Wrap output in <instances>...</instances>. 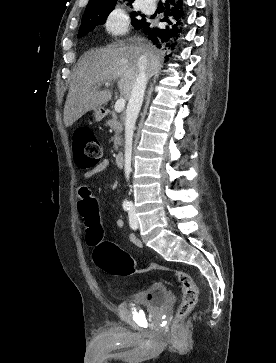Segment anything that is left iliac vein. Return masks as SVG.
Segmentation results:
<instances>
[{
  "instance_id": "4c4485c4",
  "label": "left iliac vein",
  "mask_w": 276,
  "mask_h": 363,
  "mask_svg": "<svg viewBox=\"0 0 276 363\" xmlns=\"http://www.w3.org/2000/svg\"><path fill=\"white\" fill-rule=\"evenodd\" d=\"M129 224L132 229H136L138 227V219L136 216L135 208L133 205H131L130 211H129Z\"/></svg>"
}]
</instances>
